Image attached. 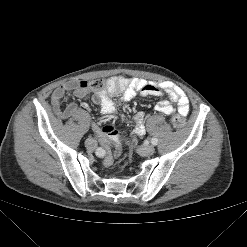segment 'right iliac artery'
Masks as SVG:
<instances>
[{
    "instance_id": "right-iliac-artery-1",
    "label": "right iliac artery",
    "mask_w": 247,
    "mask_h": 247,
    "mask_svg": "<svg viewBox=\"0 0 247 247\" xmlns=\"http://www.w3.org/2000/svg\"><path fill=\"white\" fill-rule=\"evenodd\" d=\"M95 154L100 157V158H103L106 156L107 154V151L106 149L103 147V146H98L96 149H95Z\"/></svg>"
}]
</instances>
